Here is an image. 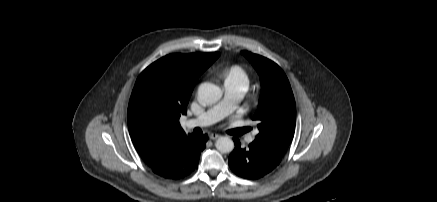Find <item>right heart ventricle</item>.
Wrapping results in <instances>:
<instances>
[{"label": "right heart ventricle", "instance_id": "obj_1", "mask_svg": "<svg viewBox=\"0 0 437 202\" xmlns=\"http://www.w3.org/2000/svg\"><path fill=\"white\" fill-rule=\"evenodd\" d=\"M225 81H236L248 84V76L245 70L240 66L230 67L224 74Z\"/></svg>", "mask_w": 437, "mask_h": 202}]
</instances>
